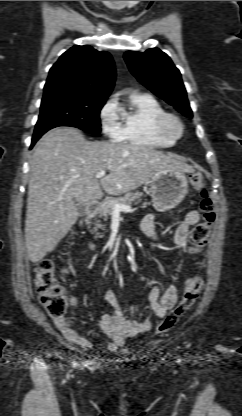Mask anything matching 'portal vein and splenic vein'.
Listing matches in <instances>:
<instances>
[{
	"label": "portal vein and splenic vein",
	"instance_id": "portal-vein-and-splenic-vein-1",
	"mask_svg": "<svg viewBox=\"0 0 242 416\" xmlns=\"http://www.w3.org/2000/svg\"><path fill=\"white\" fill-rule=\"evenodd\" d=\"M106 174V171H99L96 173L95 178L96 179H100L102 177H104ZM132 209L130 206L128 205H124V204H120V203H116L114 205V213H119V212H130Z\"/></svg>",
	"mask_w": 242,
	"mask_h": 416
}]
</instances>
